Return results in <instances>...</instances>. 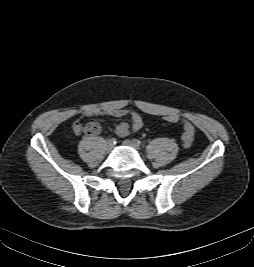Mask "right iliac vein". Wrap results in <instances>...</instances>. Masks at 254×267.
<instances>
[{
  "mask_svg": "<svg viewBox=\"0 0 254 267\" xmlns=\"http://www.w3.org/2000/svg\"><path fill=\"white\" fill-rule=\"evenodd\" d=\"M114 145L108 144L107 151L110 152L113 149Z\"/></svg>",
  "mask_w": 254,
  "mask_h": 267,
  "instance_id": "1",
  "label": "right iliac vein"
}]
</instances>
